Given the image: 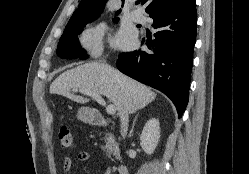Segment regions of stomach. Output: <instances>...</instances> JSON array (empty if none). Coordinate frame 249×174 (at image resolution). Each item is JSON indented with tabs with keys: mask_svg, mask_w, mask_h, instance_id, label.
I'll return each instance as SVG.
<instances>
[{
	"mask_svg": "<svg viewBox=\"0 0 249 174\" xmlns=\"http://www.w3.org/2000/svg\"><path fill=\"white\" fill-rule=\"evenodd\" d=\"M77 117L83 122H91L93 119V112L86 107H82L78 110Z\"/></svg>",
	"mask_w": 249,
	"mask_h": 174,
	"instance_id": "obj_1",
	"label": "stomach"
}]
</instances>
